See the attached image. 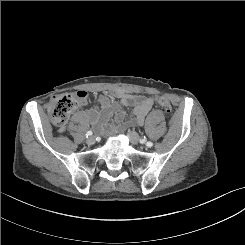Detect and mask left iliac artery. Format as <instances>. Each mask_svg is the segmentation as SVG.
Masks as SVG:
<instances>
[{
    "label": "left iliac artery",
    "instance_id": "left-iliac-artery-1",
    "mask_svg": "<svg viewBox=\"0 0 245 245\" xmlns=\"http://www.w3.org/2000/svg\"><path fill=\"white\" fill-rule=\"evenodd\" d=\"M144 141H145V139H142V140H141V142H144ZM146 145H147L148 147H152V146H153V143H152V142H147Z\"/></svg>",
    "mask_w": 245,
    "mask_h": 245
}]
</instances>
